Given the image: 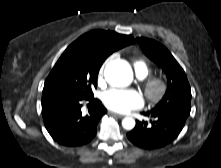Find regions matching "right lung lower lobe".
<instances>
[{"mask_svg":"<svg viewBox=\"0 0 221 168\" xmlns=\"http://www.w3.org/2000/svg\"><path fill=\"white\" fill-rule=\"evenodd\" d=\"M85 101L92 104V107L84 116L81 107ZM105 113L106 108L94 97L82 98L56 91L42 93L45 127L56 142L65 146H80L91 141Z\"/></svg>","mask_w":221,"mask_h":168,"instance_id":"1","label":"right lung lower lobe"}]
</instances>
